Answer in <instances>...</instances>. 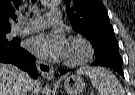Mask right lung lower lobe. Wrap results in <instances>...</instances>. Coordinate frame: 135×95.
<instances>
[{"label":"right lung lower lobe","instance_id":"right-lung-lower-lobe-1","mask_svg":"<svg viewBox=\"0 0 135 95\" xmlns=\"http://www.w3.org/2000/svg\"><path fill=\"white\" fill-rule=\"evenodd\" d=\"M0 62L14 64L34 79L37 78L35 57L20 47V39L0 43Z\"/></svg>","mask_w":135,"mask_h":95}]
</instances>
